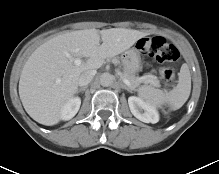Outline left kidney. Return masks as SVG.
Returning a JSON list of instances; mask_svg holds the SVG:
<instances>
[{
	"label": "left kidney",
	"mask_w": 219,
	"mask_h": 174,
	"mask_svg": "<svg viewBox=\"0 0 219 174\" xmlns=\"http://www.w3.org/2000/svg\"><path fill=\"white\" fill-rule=\"evenodd\" d=\"M128 104L131 113L140 121L153 124L159 121L157 110L141 98L131 96L128 98Z\"/></svg>",
	"instance_id": "obj_1"
}]
</instances>
